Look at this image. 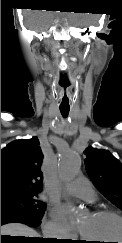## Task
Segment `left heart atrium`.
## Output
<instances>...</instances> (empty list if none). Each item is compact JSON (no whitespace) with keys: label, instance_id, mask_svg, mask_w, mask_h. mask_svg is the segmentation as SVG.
<instances>
[{"label":"left heart atrium","instance_id":"1","mask_svg":"<svg viewBox=\"0 0 122 243\" xmlns=\"http://www.w3.org/2000/svg\"><path fill=\"white\" fill-rule=\"evenodd\" d=\"M58 212L62 219L64 220L68 219V211L65 207H61Z\"/></svg>","mask_w":122,"mask_h":243}]
</instances>
